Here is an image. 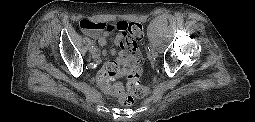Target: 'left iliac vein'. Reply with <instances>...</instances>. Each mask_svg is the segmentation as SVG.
I'll use <instances>...</instances> for the list:
<instances>
[{"label":"left iliac vein","instance_id":"left-iliac-vein-1","mask_svg":"<svg viewBox=\"0 0 255 122\" xmlns=\"http://www.w3.org/2000/svg\"><path fill=\"white\" fill-rule=\"evenodd\" d=\"M158 56V53L154 50V51H150L149 54H148V57L151 59V60H155Z\"/></svg>","mask_w":255,"mask_h":122}]
</instances>
